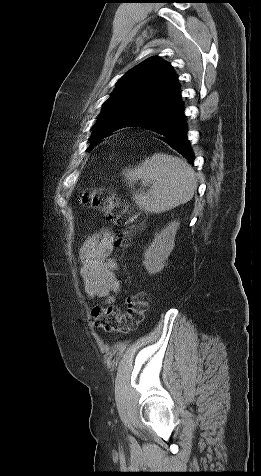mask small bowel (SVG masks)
<instances>
[{
	"instance_id": "c3829d8e",
	"label": "small bowel",
	"mask_w": 261,
	"mask_h": 476,
	"mask_svg": "<svg viewBox=\"0 0 261 476\" xmlns=\"http://www.w3.org/2000/svg\"><path fill=\"white\" fill-rule=\"evenodd\" d=\"M113 242L114 234L104 229L89 237L80 250V273L85 292L107 302H112V294L120 291L115 275L117 264L111 257Z\"/></svg>"
}]
</instances>
